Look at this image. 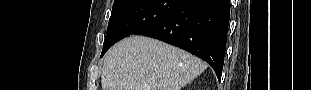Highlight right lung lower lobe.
<instances>
[{"instance_id":"obj_1","label":"right lung lower lobe","mask_w":311,"mask_h":90,"mask_svg":"<svg viewBox=\"0 0 311 90\" xmlns=\"http://www.w3.org/2000/svg\"><path fill=\"white\" fill-rule=\"evenodd\" d=\"M229 0H184L174 11L136 35L180 47L208 62L218 79L222 75Z\"/></svg>"}]
</instances>
